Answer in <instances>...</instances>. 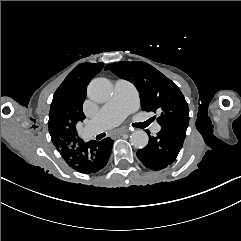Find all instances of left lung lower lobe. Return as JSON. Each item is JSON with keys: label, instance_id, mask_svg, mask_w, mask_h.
I'll return each mask as SVG.
<instances>
[{"label": "left lung lower lobe", "instance_id": "left-lung-lower-lobe-1", "mask_svg": "<svg viewBox=\"0 0 241 241\" xmlns=\"http://www.w3.org/2000/svg\"><path fill=\"white\" fill-rule=\"evenodd\" d=\"M188 124L171 122L161 125L156 137H149L148 145L137 151V157L148 168L161 170L171 165L177 158Z\"/></svg>", "mask_w": 241, "mask_h": 241}]
</instances>
